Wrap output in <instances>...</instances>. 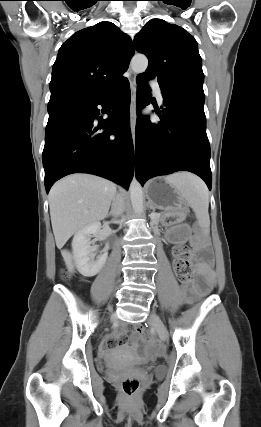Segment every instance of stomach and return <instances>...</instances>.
I'll return each instance as SVG.
<instances>
[{"label": "stomach", "mask_w": 261, "mask_h": 427, "mask_svg": "<svg viewBox=\"0 0 261 427\" xmlns=\"http://www.w3.org/2000/svg\"><path fill=\"white\" fill-rule=\"evenodd\" d=\"M146 193L149 203L166 216L183 219L186 213V200L178 188L167 178H155L148 182Z\"/></svg>", "instance_id": "obj_1"}]
</instances>
